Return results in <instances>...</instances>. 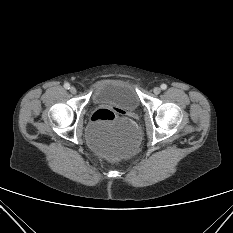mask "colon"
<instances>
[{
    "mask_svg": "<svg viewBox=\"0 0 233 233\" xmlns=\"http://www.w3.org/2000/svg\"><path fill=\"white\" fill-rule=\"evenodd\" d=\"M114 118L115 114L110 109H99L92 115V121L95 123H110Z\"/></svg>",
    "mask_w": 233,
    "mask_h": 233,
    "instance_id": "obj_1",
    "label": "colon"
}]
</instances>
